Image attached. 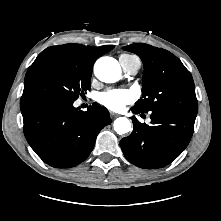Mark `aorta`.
<instances>
[{"label":"aorta","mask_w":221,"mask_h":221,"mask_svg":"<svg viewBox=\"0 0 221 221\" xmlns=\"http://www.w3.org/2000/svg\"><path fill=\"white\" fill-rule=\"evenodd\" d=\"M96 77L105 83L116 82L121 77V68L117 60L111 57H102L94 65ZM114 130L123 135L131 131V122L128 118L120 117L114 121Z\"/></svg>","instance_id":"obj_1"}]
</instances>
